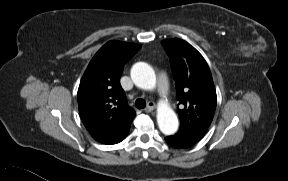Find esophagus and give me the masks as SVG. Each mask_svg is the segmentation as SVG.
I'll use <instances>...</instances> for the list:
<instances>
[{"mask_svg": "<svg viewBox=\"0 0 288 181\" xmlns=\"http://www.w3.org/2000/svg\"><path fill=\"white\" fill-rule=\"evenodd\" d=\"M155 103L153 101L148 102L147 107L144 109L145 112H152L155 109Z\"/></svg>", "mask_w": 288, "mask_h": 181, "instance_id": "1", "label": "esophagus"}]
</instances>
